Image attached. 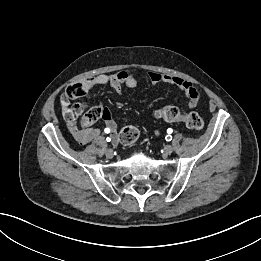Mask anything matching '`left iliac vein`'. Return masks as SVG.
Wrapping results in <instances>:
<instances>
[{
  "label": "left iliac vein",
  "instance_id": "4c4485c4",
  "mask_svg": "<svg viewBox=\"0 0 261 261\" xmlns=\"http://www.w3.org/2000/svg\"><path fill=\"white\" fill-rule=\"evenodd\" d=\"M172 152H173V147L171 145L168 144L164 147V153L166 155H170Z\"/></svg>",
  "mask_w": 261,
  "mask_h": 261
}]
</instances>
